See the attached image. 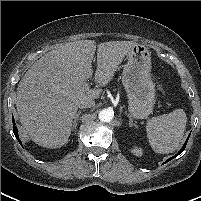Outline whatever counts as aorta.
Here are the masks:
<instances>
[{
    "label": "aorta",
    "instance_id": "obj_1",
    "mask_svg": "<svg viewBox=\"0 0 201 201\" xmlns=\"http://www.w3.org/2000/svg\"><path fill=\"white\" fill-rule=\"evenodd\" d=\"M113 117H114V113L110 109H103L99 113V119L102 122H110L112 121Z\"/></svg>",
    "mask_w": 201,
    "mask_h": 201
}]
</instances>
